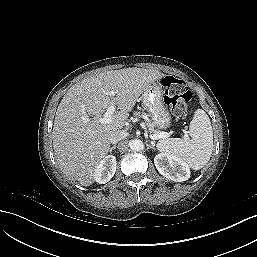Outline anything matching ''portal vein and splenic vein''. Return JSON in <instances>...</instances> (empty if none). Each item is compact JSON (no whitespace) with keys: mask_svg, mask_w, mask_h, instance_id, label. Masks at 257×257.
Here are the masks:
<instances>
[{"mask_svg":"<svg viewBox=\"0 0 257 257\" xmlns=\"http://www.w3.org/2000/svg\"><path fill=\"white\" fill-rule=\"evenodd\" d=\"M109 95H112L114 96L115 95V91L111 90L108 92ZM116 110V106L114 104L110 105L108 107V109L106 110L105 114L103 115V118H100V122L101 123H109L111 121V117H112V114L114 113V111ZM142 126L145 127V125L142 123ZM169 136V133L167 132H160L159 134H152L150 135V138L152 140H157V139H160V138H167ZM188 135L185 134V138H187Z\"/></svg>","mask_w":257,"mask_h":257,"instance_id":"obj_1","label":"portal vein and splenic vein"}]
</instances>
